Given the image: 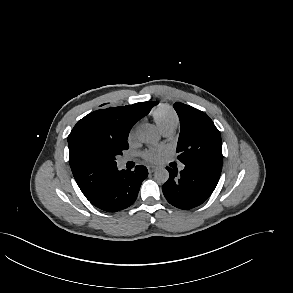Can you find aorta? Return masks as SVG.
<instances>
[{
    "label": "aorta",
    "mask_w": 293,
    "mask_h": 293,
    "mask_svg": "<svg viewBox=\"0 0 293 293\" xmlns=\"http://www.w3.org/2000/svg\"><path fill=\"white\" fill-rule=\"evenodd\" d=\"M137 138L143 143L155 144L159 141L160 135L154 127L146 125L138 131ZM154 179L158 183H165L169 179V172L165 168H158L154 173Z\"/></svg>",
    "instance_id": "obj_1"
}]
</instances>
